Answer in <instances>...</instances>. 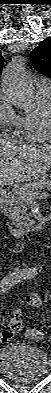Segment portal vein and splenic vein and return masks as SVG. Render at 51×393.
Listing matches in <instances>:
<instances>
[{
  "label": "portal vein and splenic vein",
  "mask_w": 51,
  "mask_h": 393,
  "mask_svg": "<svg viewBox=\"0 0 51 393\" xmlns=\"http://www.w3.org/2000/svg\"><path fill=\"white\" fill-rule=\"evenodd\" d=\"M41 195H43V194H40V193H33V194H26V197H27V199L28 200H33V199H36V198H39Z\"/></svg>",
  "instance_id": "obj_1"
}]
</instances>
